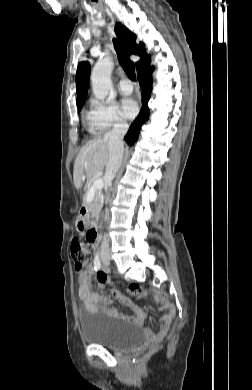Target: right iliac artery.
Segmentation results:
<instances>
[{
    "instance_id": "right-iliac-artery-1",
    "label": "right iliac artery",
    "mask_w": 252,
    "mask_h": 390,
    "mask_svg": "<svg viewBox=\"0 0 252 390\" xmlns=\"http://www.w3.org/2000/svg\"><path fill=\"white\" fill-rule=\"evenodd\" d=\"M94 265H95V270H100L101 268V262H100V259H99V253L97 252L95 258H94Z\"/></svg>"
}]
</instances>
